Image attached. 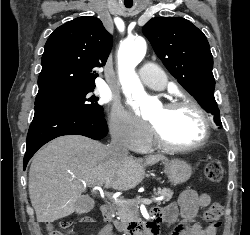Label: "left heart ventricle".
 <instances>
[{
  "label": "left heart ventricle",
  "instance_id": "left-heart-ventricle-1",
  "mask_svg": "<svg viewBox=\"0 0 250 235\" xmlns=\"http://www.w3.org/2000/svg\"><path fill=\"white\" fill-rule=\"evenodd\" d=\"M148 120L157 126L164 138L175 145H188L196 142L202 134V121L191 107L184 106L173 110L157 108Z\"/></svg>",
  "mask_w": 250,
  "mask_h": 235
}]
</instances>
